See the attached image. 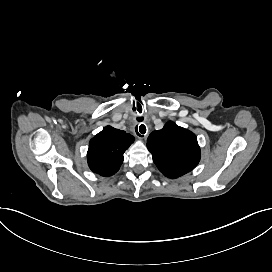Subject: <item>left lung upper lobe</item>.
Wrapping results in <instances>:
<instances>
[{"mask_svg":"<svg viewBox=\"0 0 272 272\" xmlns=\"http://www.w3.org/2000/svg\"><path fill=\"white\" fill-rule=\"evenodd\" d=\"M147 148L160 172L171 179L190 172L200 161L196 135L172 121L149 135Z\"/></svg>","mask_w":272,"mask_h":272,"instance_id":"obj_1","label":"left lung upper lobe"}]
</instances>
